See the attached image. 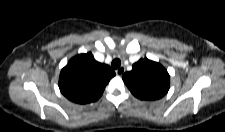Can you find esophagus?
I'll return each instance as SVG.
<instances>
[{"instance_id": "obj_1", "label": "esophagus", "mask_w": 225, "mask_h": 132, "mask_svg": "<svg viewBox=\"0 0 225 132\" xmlns=\"http://www.w3.org/2000/svg\"><path fill=\"white\" fill-rule=\"evenodd\" d=\"M115 72H116V74L118 76H122L123 73L125 72V68L124 67H119Z\"/></svg>"}]
</instances>
